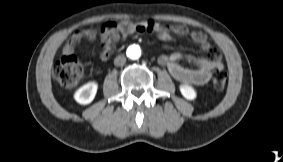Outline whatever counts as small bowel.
Here are the masks:
<instances>
[{
	"instance_id": "obj_1",
	"label": "small bowel",
	"mask_w": 283,
	"mask_h": 162,
	"mask_svg": "<svg viewBox=\"0 0 283 162\" xmlns=\"http://www.w3.org/2000/svg\"><path fill=\"white\" fill-rule=\"evenodd\" d=\"M135 33H154L163 41L172 40L173 35L188 36L204 52L208 53V57H195L181 52L159 56V64L165 66L170 74L179 82L204 85L210 80L213 71L217 68H223L220 60V52L217 49L211 48L208 37L204 32L191 31L187 26L182 24L166 25L154 20L138 22L123 20L118 23H107L100 34V41L102 43L101 60L106 61L110 58L115 43ZM96 38L97 33L93 29L77 30L66 42L63 53L65 55H72L76 45L82 39L93 41ZM183 59L193 63L195 67L191 68L180 64V61Z\"/></svg>"
}]
</instances>
